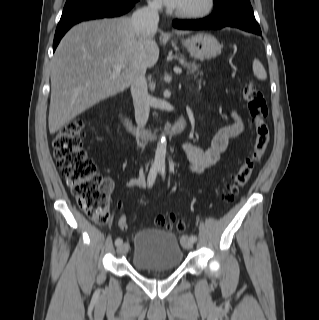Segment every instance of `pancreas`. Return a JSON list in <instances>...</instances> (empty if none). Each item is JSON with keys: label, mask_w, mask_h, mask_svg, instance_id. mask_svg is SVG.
<instances>
[{"label": "pancreas", "mask_w": 319, "mask_h": 320, "mask_svg": "<svg viewBox=\"0 0 319 320\" xmlns=\"http://www.w3.org/2000/svg\"><path fill=\"white\" fill-rule=\"evenodd\" d=\"M180 57L182 58L181 64L187 68L188 74L195 75V73H197V75H202V73L199 72L198 66L195 64V62H188L182 55H180ZM178 58L179 56H176V59Z\"/></svg>", "instance_id": "1"}]
</instances>
